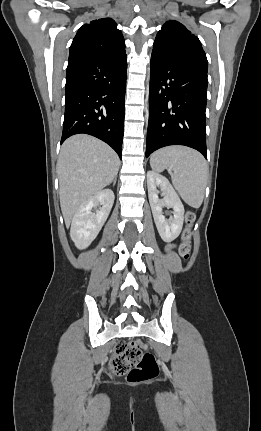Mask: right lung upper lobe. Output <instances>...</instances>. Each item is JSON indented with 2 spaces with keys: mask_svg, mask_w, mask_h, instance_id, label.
Segmentation results:
<instances>
[{
  "mask_svg": "<svg viewBox=\"0 0 261 431\" xmlns=\"http://www.w3.org/2000/svg\"><path fill=\"white\" fill-rule=\"evenodd\" d=\"M125 55L124 38L111 18L83 25L70 46L68 62L87 58H116Z\"/></svg>",
  "mask_w": 261,
  "mask_h": 431,
  "instance_id": "1",
  "label": "right lung upper lobe"
}]
</instances>
